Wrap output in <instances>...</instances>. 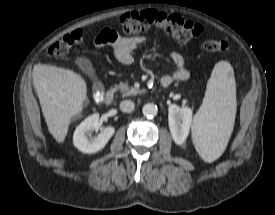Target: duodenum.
I'll list each match as a JSON object with an SVG mask.
<instances>
[{
	"label": "duodenum",
	"mask_w": 275,
	"mask_h": 215,
	"mask_svg": "<svg viewBox=\"0 0 275 215\" xmlns=\"http://www.w3.org/2000/svg\"><path fill=\"white\" fill-rule=\"evenodd\" d=\"M113 96L114 90L112 88H108L106 90H99L96 92V101L100 104L109 103L113 99Z\"/></svg>",
	"instance_id": "obj_1"
}]
</instances>
